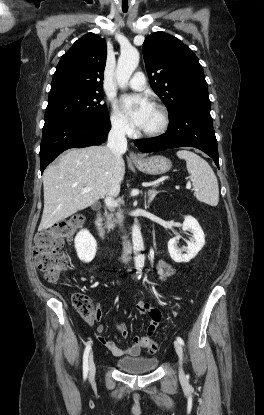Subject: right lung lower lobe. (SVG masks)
Listing matches in <instances>:
<instances>
[{"label":"right lung lower lobe","instance_id":"1","mask_svg":"<svg viewBox=\"0 0 264 415\" xmlns=\"http://www.w3.org/2000/svg\"><path fill=\"white\" fill-rule=\"evenodd\" d=\"M111 128L109 116L46 122L40 146L41 173L60 153L104 143Z\"/></svg>","mask_w":264,"mask_h":415}]
</instances>
